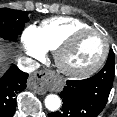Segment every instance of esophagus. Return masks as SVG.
Listing matches in <instances>:
<instances>
[{
    "mask_svg": "<svg viewBox=\"0 0 117 117\" xmlns=\"http://www.w3.org/2000/svg\"><path fill=\"white\" fill-rule=\"evenodd\" d=\"M51 72L37 71L29 78V86L38 94H45L48 89L54 90L56 85L52 82Z\"/></svg>",
    "mask_w": 117,
    "mask_h": 117,
    "instance_id": "obj_1",
    "label": "esophagus"
}]
</instances>
